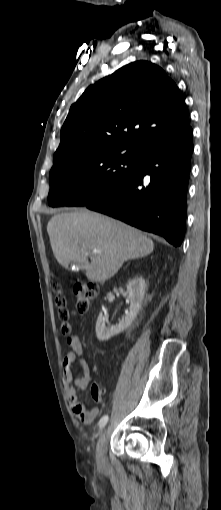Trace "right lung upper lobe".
<instances>
[{"label": "right lung upper lobe", "mask_w": 221, "mask_h": 510, "mask_svg": "<svg viewBox=\"0 0 221 510\" xmlns=\"http://www.w3.org/2000/svg\"><path fill=\"white\" fill-rule=\"evenodd\" d=\"M178 87L159 66L130 63L89 86L62 126L54 165L104 146L143 148L189 128Z\"/></svg>", "instance_id": "obj_1"}]
</instances>
